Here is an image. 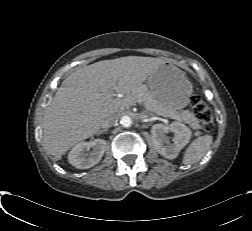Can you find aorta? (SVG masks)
<instances>
[{
    "label": "aorta",
    "mask_w": 252,
    "mask_h": 231,
    "mask_svg": "<svg viewBox=\"0 0 252 231\" xmlns=\"http://www.w3.org/2000/svg\"><path fill=\"white\" fill-rule=\"evenodd\" d=\"M121 124L124 126V127H130L131 124H132V120L129 116H122L121 117Z\"/></svg>",
    "instance_id": "obj_1"
}]
</instances>
